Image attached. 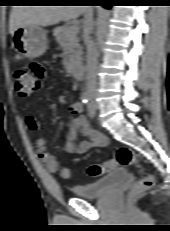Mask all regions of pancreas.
<instances>
[{"label": "pancreas", "instance_id": "1", "mask_svg": "<svg viewBox=\"0 0 170 231\" xmlns=\"http://www.w3.org/2000/svg\"><path fill=\"white\" fill-rule=\"evenodd\" d=\"M70 26H60L53 30V35L60 47L64 51L63 65L67 70H72L78 66L82 56V46L76 35L67 33Z\"/></svg>", "mask_w": 170, "mask_h": 231}]
</instances>
